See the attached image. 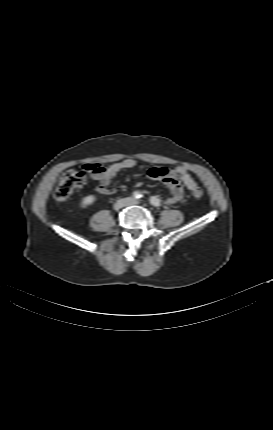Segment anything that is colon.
Wrapping results in <instances>:
<instances>
[{
  "label": "colon",
  "mask_w": 273,
  "mask_h": 430,
  "mask_svg": "<svg viewBox=\"0 0 273 430\" xmlns=\"http://www.w3.org/2000/svg\"><path fill=\"white\" fill-rule=\"evenodd\" d=\"M88 176L89 175H86L81 170L65 172L57 181L54 198L60 202L67 200L75 190L86 186ZM192 196L194 198H201L203 196V190L200 187L193 189Z\"/></svg>",
  "instance_id": "colon-1"
}]
</instances>
